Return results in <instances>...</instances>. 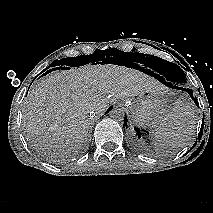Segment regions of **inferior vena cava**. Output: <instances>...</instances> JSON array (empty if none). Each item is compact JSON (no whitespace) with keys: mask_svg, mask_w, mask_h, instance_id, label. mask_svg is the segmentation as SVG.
<instances>
[{"mask_svg":"<svg viewBox=\"0 0 213 213\" xmlns=\"http://www.w3.org/2000/svg\"><path fill=\"white\" fill-rule=\"evenodd\" d=\"M89 116L91 117V118H97V113H95L94 111H91L90 113H89Z\"/></svg>","mask_w":213,"mask_h":213,"instance_id":"inferior-vena-cava-1","label":"inferior vena cava"}]
</instances>
